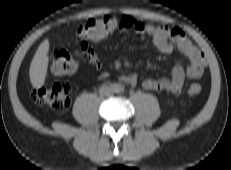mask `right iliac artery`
<instances>
[{
    "label": "right iliac artery",
    "mask_w": 231,
    "mask_h": 170,
    "mask_svg": "<svg viewBox=\"0 0 231 170\" xmlns=\"http://www.w3.org/2000/svg\"><path fill=\"white\" fill-rule=\"evenodd\" d=\"M111 89L112 90H116L117 89V84L113 83L110 85Z\"/></svg>",
    "instance_id": "right-iliac-artery-1"
}]
</instances>
